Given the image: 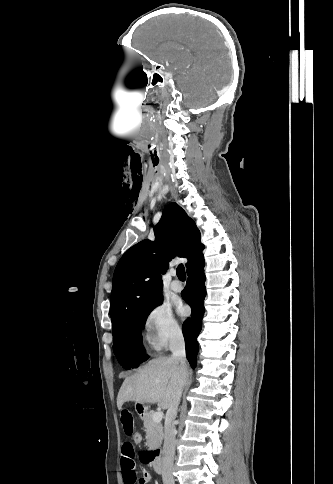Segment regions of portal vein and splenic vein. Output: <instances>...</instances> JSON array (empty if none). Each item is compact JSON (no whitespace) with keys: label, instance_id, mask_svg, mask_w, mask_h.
Returning a JSON list of instances; mask_svg holds the SVG:
<instances>
[{"label":"portal vein and splenic vein","instance_id":"18ae733b","mask_svg":"<svg viewBox=\"0 0 333 484\" xmlns=\"http://www.w3.org/2000/svg\"><path fill=\"white\" fill-rule=\"evenodd\" d=\"M163 416H164L163 412L158 411V412L153 414V421L156 422V423H159V422H161Z\"/></svg>","mask_w":333,"mask_h":484}]
</instances>
